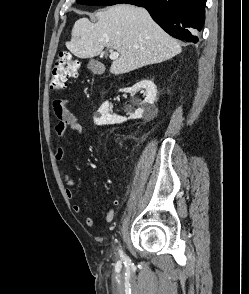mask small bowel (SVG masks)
Listing matches in <instances>:
<instances>
[{
    "instance_id": "1",
    "label": "small bowel",
    "mask_w": 249,
    "mask_h": 294,
    "mask_svg": "<svg viewBox=\"0 0 249 294\" xmlns=\"http://www.w3.org/2000/svg\"><path fill=\"white\" fill-rule=\"evenodd\" d=\"M68 99L56 100L54 102V110L56 116L59 119V122L56 125V133L59 137H62L67 130H71L75 133H80L82 131V125L78 118L68 112L65 109L66 104H68ZM65 156V148L63 145H59L55 157L57 160H62ZM60 176L63 184L66 186V196L69 200H73L75 197L74 191L72 187L75 185V180L71 178L64 170L60 171ZM115 205L118 204V201L114 202ZM72 209L75 213H82V207L79 204H73ZM115 217V210L113 208H109L105 215V220L107 223H111ZM85 223L88 227H94L96 225L95 220L91 216H87L85 219Z\"/></svg>"
}]
</instances>
